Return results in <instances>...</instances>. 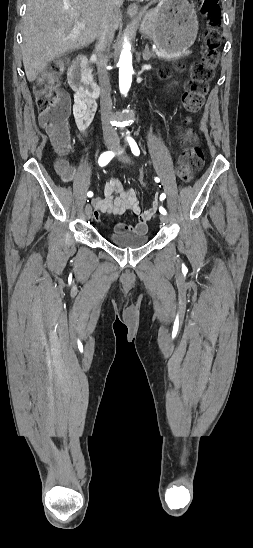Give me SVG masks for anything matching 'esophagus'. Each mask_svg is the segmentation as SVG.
<instances>
[{"instance_id":"34e87169","label":"esophagus","mask_w":253,"mask_h":548,"mask_svg":"<svg viewBox=\"0 0 253 548\" xmlns=\"http://www.w3.org/2000/svg\"><path fill=\"white\" fill-rule=\"evenodd\" d=\"M139 8L138 5L135 3H132L127 8V13L131 17H135L138 14Z\"/></svg>"}]
</instances>
